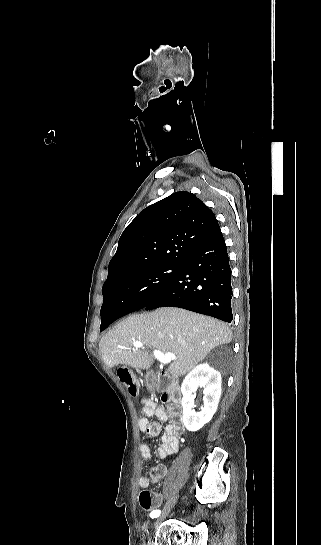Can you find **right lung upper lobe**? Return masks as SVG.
Segmentation results:
<instances>
[{"label": "right lung upper lobe", "instance_id": "obj_1", "mask_svg": "<svg viewBox=\"0 0 321 545\" xmlns=\"http://www.w3.org/2000/svg\"><path fill=\"white\" fill-rule=\"evenodd\" d=\"M219 229L214 213L192 193L176 192L150 205L122 233L103 288L157 265H182Z\"/></svg>", "mask_w": 321, "mask_h": 545}]
</instances>
